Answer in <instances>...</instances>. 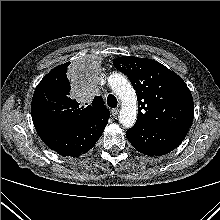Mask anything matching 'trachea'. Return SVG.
<instances>
[{"label": "trachea", "instance_id": "1", "mask_svg": "<svg viewBox=\"0 0 220 220\" xmlns=\"http://www.w3.org/2000/svg\"><path fill=\"white\" fill-rule=\"evenodd\" d=\"M107 104L109 107L115 108V107H117L118 101L114 95L109 94L107 96Z\"/></svg>", "mask_w": 220, "mask_h": 220}]
</instances>
